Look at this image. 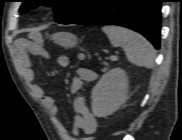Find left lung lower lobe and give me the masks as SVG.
I'll return each instance as SVG.
<instances>
[{
	"label": "left lung lower lobe",
	"mask_w": 182,
	"mask_h": 140,
	"mask_svg": "<svg viewBox=\"0 0 182 140\" xmlns=\"http://www.w3.org/2000/svg\"><path fill=\"white\" fill-rule=\"evenodd\" d=\"M162 1L102 0L73 24H111L127 27L144 35L159 49Z\"/></svg>",
	"instance_id": "0a47b994"
}]
</instances>
